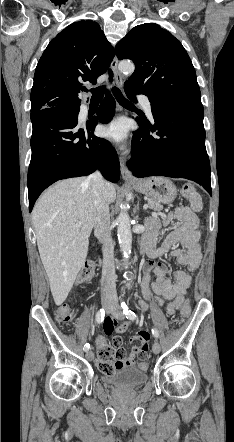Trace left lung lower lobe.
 <instances>
[{
  "label": "left lung lower lobe",
  "mask_w": 234,
  "mask_h": 442,
  "mask_svg": "<svg viewBox=\"0 0 234 442\" xmlns=\"http://www.w3.org/2000/svg\"><path fill=\"white\" fill-rule=\"evenodd\" d=\"M124 90L134 102L135 95L142 93L130 87ZM151 110L153 126L136 118L141 129L133 133L132 158L127 162L133 175L186 178L211 194L201 100L151 102ZM149 130L155 132V136L150 135Z\"/></svg>",
  "instance_id": "obj_1"
}]
</instances>
